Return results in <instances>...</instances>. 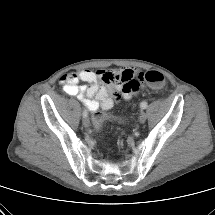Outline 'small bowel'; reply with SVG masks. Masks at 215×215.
Segmentation results:
<instances>
[{"mask_svg": "<svg viewBox=\"0 0 215 215\" xmlns=\"http://www.w3.org/2000/svg\"><path fill=\"white\" fill-rule=\"evenodd\" d=\"M138 70L123 67L115 70H81L63 75V90L75 96L91 112L109 110L120 100H130L139 89ZM87 85H80L79 82ZM137 83L135 86L134 84Z\"/></svg>", "mask_w": 215, "mask_h": 215, "instance_id": "small-bowel-1", "label": "small bowel"}]
</instances>
